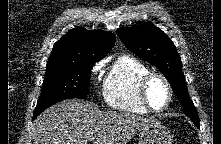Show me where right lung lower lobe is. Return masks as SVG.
<instances>
[{"mask_svg":"<svg viewBox=\"0 0 221 144\" xmlns=\"http://www.w3.org/2000/svg\"><path fill=\"white\" fill-rule=\"evenodd\" d=\"M38 116V115H37ZM36 115L33 117L34 119L37 117Z\"/></svg>","mask_w":221,"mask_h":144,"instance_id":"1","label":"right lung lower lobe"}]
</instances>
